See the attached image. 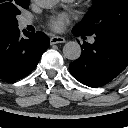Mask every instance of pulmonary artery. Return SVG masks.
<instances>
[{
    "label": "pulmonary artery",
    "mask_w": 128,
    "mask_h": 128,
    "mask_svg": "<svg viewBox=\"0 0 128 128\" xmlns=\"http://www.w3.org/2000/svg\"><path fill=\"white\" fill-rule=\"evenodd\" d=\"M65 1L72 2L74 0H65ZM31 24H32V20H30V19H23L21 21V26H23V27H26V26L31 25ZM90 42H94V39L93 38L90 39Z\"/></svg>",
    "instance_id": "obj_1"
}]
</instances>
